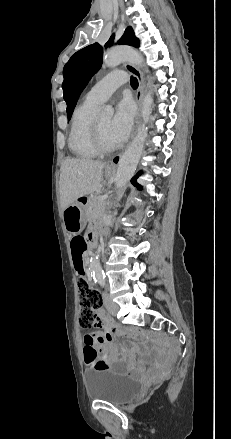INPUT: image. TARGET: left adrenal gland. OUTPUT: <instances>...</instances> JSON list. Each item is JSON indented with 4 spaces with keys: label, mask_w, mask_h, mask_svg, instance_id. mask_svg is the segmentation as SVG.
<instances>
[{
    "label": "left adrenal gland",
    "mask_w": 231,
    "mask_h": 439,
    "mask_svg": "<svg viewBox=\"0 0 231 439\" xmlns=\"http://www.w3.org/2000/svg\"><path fill=\"white\" fill-rule=\"evenodd\" d=\"M108 207H109V208L111 207V205L109 204V202H108Z\"/></svg>",
    "instance_id": "1"
}]
</instances>
